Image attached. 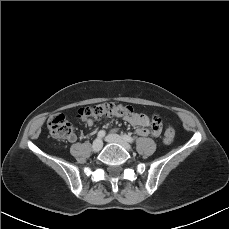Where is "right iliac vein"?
I'll return each mask as SVG.
<instances>
[{
    "mask_svg": "<svg viewBox=\"0 0 229 229\" xmlns=\"http://www.w3.org/2000/svg\"><path fill=\"white\" fill-rule=\"evenodd\" d=\"M102 146H103V142L101 141V139H96V140H94V142L92 144V150L94 152H98L101 150Z\"/></svg>",
    "mask_w": 229,
    "mask_h": 229,
    "instance_id": "obj_1",
    "label": "right iliac vein"
}]
</instances>
